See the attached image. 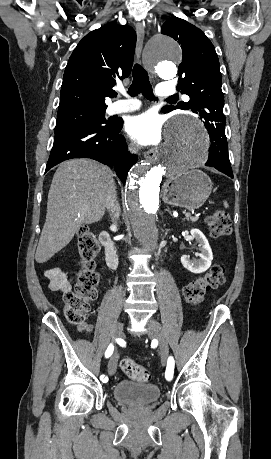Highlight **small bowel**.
<instances>
[{"mask_svg": "<svg viewBox=\"0 0 271 459\" xmlns=\"http://www.w3.org/2000/svg\"><path fill=\"white\" fill-rule=\"evenodd\" d=\"M45 277L49 281V286L52 290L61 292L71 290L73 279L63 269L59 267L49 268L45 271ZM92 329L93 326L88 323H81L78 326V330L84 333L91 332Z\"/></svg>", "mask_w": 271, "mask_h": 459, "instance_id": "c3829d8e", "label": "small bowel"}]
</instances>
